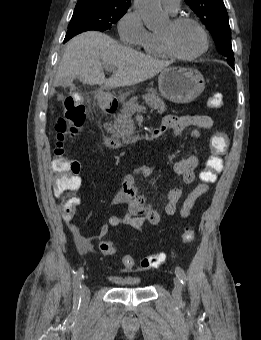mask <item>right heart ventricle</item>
<instances>
[{
	"instance_id": "obj_1",
	"label": "right heart ventricle",
	"mask_w": 261,
	"mask_h": 340,
	"mask_svg": "<svg viewBox=\"0 0 261 340\" xmlns=\"http://www.w3.org/2000/svg\"><path fill=\"white\" fill-rule=\"evenodd\" d=\"M140 47L144 52L153 57H167L168 54L164 51L159 40V34L148 32L147 36L140 43Z\"/></svg>"
}]
</instances>
